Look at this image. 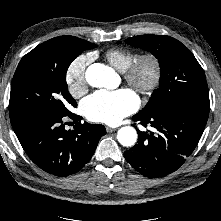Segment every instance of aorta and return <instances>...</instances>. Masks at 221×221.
<instances>
[{
  "label": "aorta",
  "mask_w": 221,
  "mask_h": 221,
  "mask_svg": "<svg viewBox=\"0 0 221 221\" xmlns=\"http://www.w3.org/2000/svg\"><path fill=\"white\" fill-rule=\"evenodd\" d=\"M86 81L92 87H112L116 75L108 66L95 63L90 65L85 73ZM119 143L125 147L133 146L137 141V132L131 126L121 127L117 132Z\"/></svg>",
  "instance_id": "1"
}]
</instances>
